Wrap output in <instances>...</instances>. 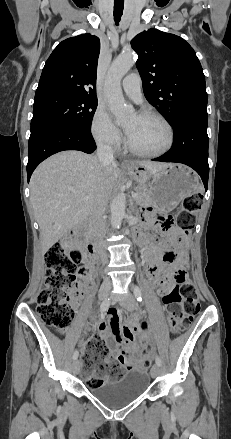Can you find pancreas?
I'll list each match as a JSON object with an SVG mask.
<instances>
[{
    "instance_id": "pancreas-1",
    "label": "pancreas",
    "mask_w": 231,
    "mask_h": 439,
    "mask_svg": "<svg viewBox=\"0 0 231 439\" xmlns=\"http://www.w3.org/2000/svg\"><path fill=\"white\" fill-rule=\"evenodd\" d=\"M138 197L136 198V203L138 205H148L152 204V197L148 190L138 188L137 189Z\"/></svg>"
}]
</instances>
